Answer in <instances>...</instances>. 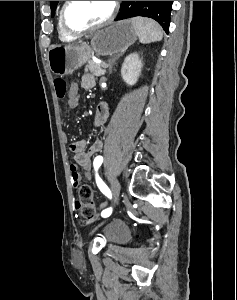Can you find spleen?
<instances>
[{
	"instance_id": "1",
	"label": "spleen",
	"mask_w": 237,
	"mask_h": 300,
	"mask_svg": "<svg viewBox=\"0 0 237 300\" xmlns=\"http://www.w3.org/2000/svg\"><path fill=\"white\" fill-rule=\"evenodd\" d=\"M131 23L135 29V33L143 45L147 43H156V41H162L163 33L161 27H159L156 21L153 19H145V17H134L131 19Z\"/></svg>"
}]
</instances>
